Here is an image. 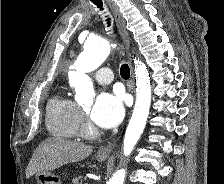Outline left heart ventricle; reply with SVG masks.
I'll return each mask as SVG.
<instances>
[{
    "label": "left heart ventricle",
    "instance_id": "b2bd125f",
    "mask_svg": "<svg viewBox=\"0 0 224 184\" xmlns=\"http://www.w3.org/2000/svg\"><path fill=\"white\" fill-rule=\"evenodd\" d=\"M85 110L88 111L89 110V107H86Z\"/></svg>",
    "mask_w": 224,
    "mask_h": 184
}]
</instances>
